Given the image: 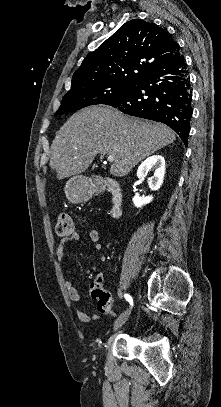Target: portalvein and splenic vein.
Instances as JSON below:
<instances>
[{
  "instance_id": "obj_1",
  "label": "portal vein and splenic vein",
  "mask_w": 221,
  "mask_h": 407,
  "mask_svg": "<svg viewBox=\"0 0 221 407\" xmlns=\"http://www.w3.org/2000/svg\"><path fill=\"white\" fill-rule=\"evenodd\" d=\"M107 160H108L109 162H113V161H114V156L109 155V156L107 157Z\"/></svg>"
}]
</instances>
